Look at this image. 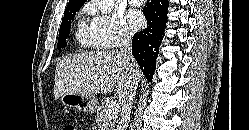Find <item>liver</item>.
Returning a JSON list of instances; mask_svg holds the SVG:
<instances>
[{
	"mask_svg": "<svg viewBox=\"0 0 249 130\" xmlns=\"http://www.w3.org/2000/svg\"><path fill=\"white\" fill-rule=\"evenodd\" d=\"M137 77L141 70L136 64ZM129 70L118 52H84L60 60L56 65L54 96L66 93L94 95L115 89L121 104L129 88Z\"/></svg>",
	"mask_w": 249,
	"mask_h": 130,
	"instance_id": "obj_1",
	"label": "liver"
}]
</instances>
